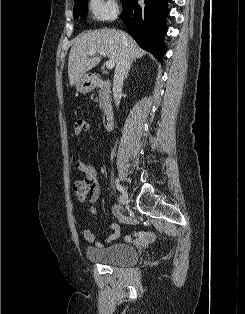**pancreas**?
<instances>
[{
  "instance_id": "cf45deb5",
  "label": "pancreas",
  "mask_w": 245,
  "mask_h": 314,
  "mask_svg": "<svg viewBox=\"0 0 245 314\" xmlns=\"http://www.w3.org/2000/svg\"><path fill=\"white\" fill-rule=\"evenodd\" d=\"M99 101L100 109L104 110L110 106V89L104 84L100 85Z\"/></svg>"
}]
</instances>
